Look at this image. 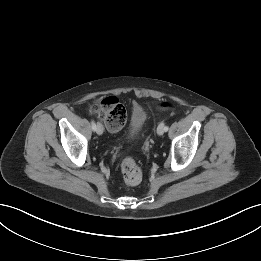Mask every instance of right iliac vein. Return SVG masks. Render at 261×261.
Wrapping results in <instances>:
<instances>
[{"instance_id": "63e3f726", "label": "right iliac vein", "mask_w": 261, "mask_h": 261, "mask_svg": "<svg viewBox=\"0 0 261 261\" xmlns=\"http://www.w3.org/2000/svg\"><path fill=\"white\" fill-rule=\"evenodd\" d=\"M103 131H104V128H103L102 124L101 123H97V125H96V132H97V134L101 135V134H103Z\"/></svg>"}]
</instances>
